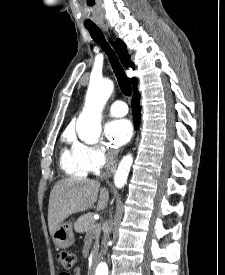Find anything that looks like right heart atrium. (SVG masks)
I'll return each instance as SVG.
<instances>
[{"label": "right heart atrium", "mask_w": 225, "mask_h": 275, "mask_svg": "<svg viewBox=\"0 0 225 275\" xmlns=\"http://www.w3.org/2000/svg\"><path fill=\"white\" fill-rule=\"evenodd\" d=\"M74 150L90 172H98L113 163L116 154L100 144L88 145L74 142Z\"/></svg>", "instance_id": "d8ad5b80"}]
</instances>
